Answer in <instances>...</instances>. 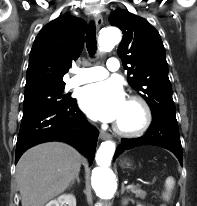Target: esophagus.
I'll use <instances>...</instances> for the list:
<instances>
[{"instance_id": "obj_1", "label": "esophagus", "mask_w": 197, "mask_h": 206, "mask_svg": "<svg viewBox=\"0 0 197 206\" xmlns=\"http://www.w3.org/2000/svg\"><path fill=\"white\" fill-rule=\"evenodd\" d=\"M94 21H95L96 27H97L98 29H99V28L102 26V24H103V18H102V16H101L100 14H96V15L94 16ZM99 136H100V139H101V140H109V139H111V135H110L109 133L105 132V131H100Z\"/></svg>"}]
</instances>
